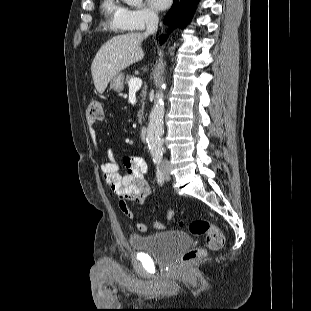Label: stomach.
I'll list each match as a JSON object with an SVG mask.
<instances>
[{
  "mask_svg": "<svg viewBox=\"0 0 311 311\" xmlns=\"http://www.w3.org/2000/svg\"><path fill=\"white\" fill-rule=\"evenodd\" d=\"M110 89L121 92L124 89V75L122 73L117 74L110 81Z\"/></svg>",
  "mask_w": 311,
  "mask_h": 311,
  "instance_id": "1",
  "label": "stomach"
}]
</instances>
